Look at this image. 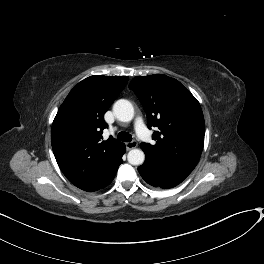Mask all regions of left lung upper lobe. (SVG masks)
<instances>
[{
    "label": "left lung upper lobe",
    "instance_id": "left-lung-upper-lobe-1",
    "mask_svg": "<svg viewBox=\"0 0 264 264\" xmlns=\"http://www.w3.org/2000/svg\"><path fill=\"white\" fill-rule=\"evenodd\" d=\"M129 88L155 127V145L141 143L146 157L157 164L191 173L201 156L205 123L199 102L179 81L163 74L137 76Z\"/></svg>",
    "mask_w": 264,
    "mask_h": 264
}]
</instances>
